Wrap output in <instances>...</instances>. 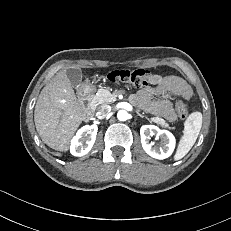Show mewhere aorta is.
<instances>
[{
    "label": "aorta",
    "mask_w": 231,
    "mask_h": 231,
    "mask_svg": "<svg viewBox=\"0 0 231 231\" xmlns=\"http://www.w3.org/2000/svg\"><path fill=\"white\" fill-rule=\"evenodd\" d=\"M117 118L120 121H126L128 119V112L125 110H119L117 113Z\"/></svg>",
    "instance_id": "obj_1"
}]
</instances>
